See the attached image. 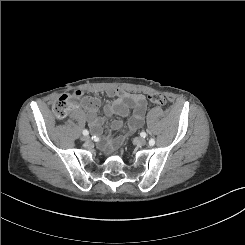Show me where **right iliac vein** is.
I'll return each instance as SVG.
<instances>
[{
	"mask_svg": "<svg viewBox=\"0 0 245 245\" xmlns=\"http://www.w3.org/2000/svg\"><path fill=\"white\" fill-rule=\"evenodd\" d=\"M81 140H83V141H89V137L84 135V136L81 137Z\"/></svg>",
	"mask_w": 245,
	"mask_h": 245,
	"instance_id": "right-iliac-vein-1",
	"label": "right iliac vein"
}]
</instances>
